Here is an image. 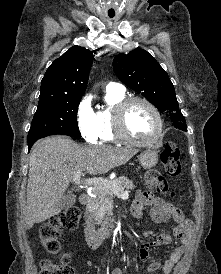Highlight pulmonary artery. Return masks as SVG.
Returning a JSON list of instances; mask_svg holds the SVG:
<instances>
[{
    "mask_svg": "<svg viewBox=\"0 0 221 274\" xmlns=\"http://www.w3.org/2000/svg\"><path fill=\"white\" fill-rule=\"evenodd\" d=\"M106 91L124 92L125 87L117 82H109L106 86Z\"/></svg>",
    "mask_w": 221,
    "mask_h": 274,
    "instance_id": "pulmonary-artery-1",
    "label": "pulmonary artery"
}]
</instances>
